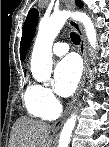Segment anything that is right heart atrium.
I'll use <instances>...</instances> for the list:
<instances>
[{
    "label": "right heart atrium",
    "mask_w": 109,
    "mask_h": 147,
    "mask_svg": "<svg viewBox=\"0 0 109 147\" xmlns=\"http://www.w3.org/2000/svg\"><path fill=\"white\" fill-rule=\"evenodd\" d=\"M33 96L43 108L49 111L58 109V101L50 88L43 85H35Z\"/></svg>",
    "instance_id": "d8ad5b80"
}]
</instances>
